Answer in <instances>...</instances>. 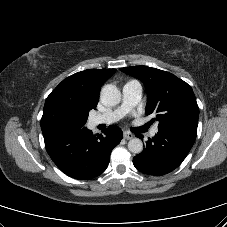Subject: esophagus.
Masks as SVG:
<instances>
[{
	"instance_id": "1",
	"label": "esophagus",
	"mask_w": 227,
	"mask_h": 227,
	"mask_svg": "<svg viewBox=\"0 0 227 227\" xmlns=\"http://www.w3.org/2000/svg\"><path fill=\"white\" fill-rule=\"evenodd\" d=\"M123 136H124V139H126V140H130V139L134 138V135L132 133H129L126 131L123 133Z\"/></svg>"
}]
</instances>
